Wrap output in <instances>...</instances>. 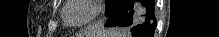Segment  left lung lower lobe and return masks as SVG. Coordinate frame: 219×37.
I'll return each mask as SVG.
<instances>
[{"label": "left lung lower lobe", "instance_id": "0a47b994", "mask_svg": "<svg viewBox=\"0 0 219 37\" xmlns=\"http://www.w3.org/2000/svg\"><path fill=\"white\" fill-rule=\"evenodd\" d=\"M154 4V0H118L105 26H129L133 37H153L156 28Z\"/></svg>", "mask_w": 219, "mask_h": 37}]
</instances>
